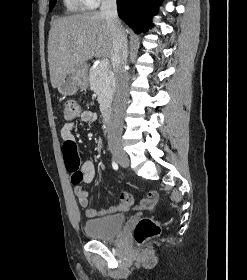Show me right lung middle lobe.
<instances>
[{"mask_svg":"<svg viewBox=\"0 0 247 280\" xmlns=\"http://www.w3.org/2000/svg\"><path fill=\"white\" fill-rule=\"evenodd\" d=\"M54 2H55V0H51V2H50V10L52 9V6H53Z\"/></svg>","mask_w":247,"mask_h":280,"instance_id":"obj_1","label":"right lung middle lobe"}]
</instances>
